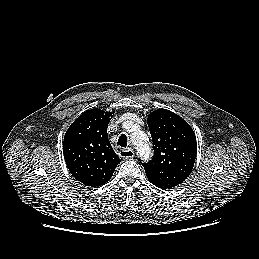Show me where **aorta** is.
<instances>
[{"label": "aorta", "mask_w": 259, "mask_h": 259, "mask_svg": "<svg viewBox=\"0 0 259 259\" xmlns=\"http://www.w3.org/2000/svg\"><path fill=\"white\" fill-rule=\"evenodd\" d=\"M131 141L141 158L144 160L149 159L151 149L147 135L142 130L136 129L131 133Z\"/></svg>", "instance_id": "762f6f07"}]
</instances>
